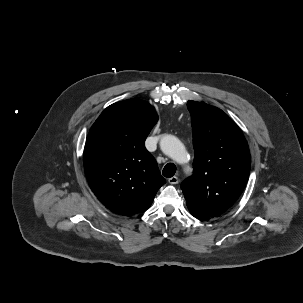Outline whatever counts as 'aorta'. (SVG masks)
<instances>
[{"mask_svg":"<svg viewBox=\"0 0 303 303\" xmlns=\"http://www.w3.org/2000/svg\"><path fill=\"white\" fill-rule=\"evenodd\" d=\"M160 147L165 154L176 160H179L180 156L184 153L182 143L178 138L172 135L164 136L160 141Z\"/></svg>","mask_w":303,"mask_h":303,"instance_id":"aorta-1","label":"aorta"}]
</instances>
